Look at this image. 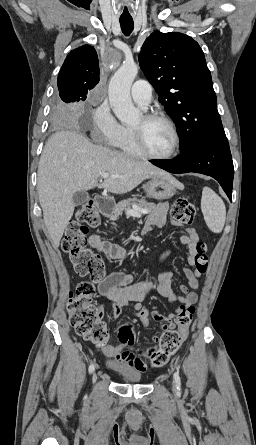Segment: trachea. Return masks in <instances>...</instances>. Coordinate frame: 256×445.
<instances>
[{"label":"trachea","mask_w":256,"mask_h":445,"mask_svg":"<svg viewBox=\"0 0 256 445\" xmlns=\"http://www.w3.org/2000/svg\"><path fill=\"white\" fill-rule=\"evenodd\" d=\"M120 25H121L122 32L127 36L133 31V26H134L133 20H130V19L122 20L121 19Z\"/></svg>","instance_id":"obj_1"}]
</instances>
